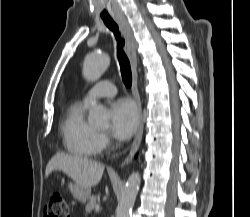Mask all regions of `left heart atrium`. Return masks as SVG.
I'll return each mask as SVG.
<instances>
[{"label":"left heart atrium","mask_w":250,"mask_h":217,"mask_svg":"<svg viewBox=\"0 0 250 217\" xmlns=\"http://www.w3.org/2000/svg\"><path fill=\"white\" fill-rule=\"evenodd\" d=\"M112 134L118 139H128L139 124V113L134 103L128 99L115 101L110 108Z\"/></svg>","instance_id":"left-heart-atrium-1"}]
</instances>
